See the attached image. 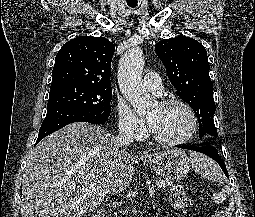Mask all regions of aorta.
<instances>
[{
	"label": "aorta",
	"instance_id": "aorta-1",
	"mask_svg": "<svg viewBox=\"0 0 255 217\" xmlns=\"http://www.w3.org/2000/svg\"><path fill=\"white\" fill-rule=\"evenodd\" d=\"M144 63L143 51L136 46L124 53L118 66L120 90L139 116L147 114L157 103L146 93L143 86L142 71Z\"/></svg>",
	"mask_w": 255,
	"mask_h": 217
}]
</instances>
